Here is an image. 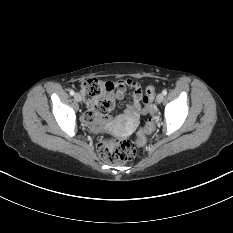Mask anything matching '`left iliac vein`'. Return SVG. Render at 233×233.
Here are the masks:
<instances>
[{
    "label": "left iliac vein",
    "instance_id": "4c4485c4",
    "mask_svg": "<svg viewBox=\"0 0 233 233\" xmlns=\"http://www.w3.org/2000/svg\"><path fill=\"white\" fill-rule=\"evenodd\" d=\"M164 99V95L162 93L158 94L156 97V102L160 104Z\"/></svg>",
    "mask_w": 233,
    "mask_h": 233
}]
</instances>
